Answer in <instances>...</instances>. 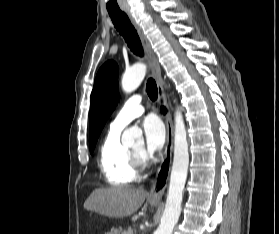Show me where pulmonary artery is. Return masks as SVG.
Returning <instances> with one entry per match:
<instances>
[{
  "label": "pulmonary artery",
  "mask_w": 279,
  "mask_h": 234,
  "mask_svg": "<svg viewBox=\"0 0 279 234\" xmlns=\"http://www.w3.org/2000/svg\"><path fill=\"white\" fill-rule=\"evenodd\" d=\"M141 102L142 97L140 95H132L119 110L110 125V129L113 131H121L133 119L140 116L144 112V107Z\"/></svg>",
  "instance_id": "obj_1"
}]
</instances>
